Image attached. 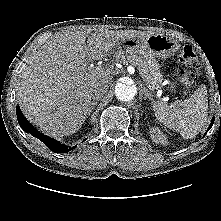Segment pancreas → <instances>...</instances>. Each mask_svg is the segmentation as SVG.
<instances>
[{"mask_svg": "<svg viewBox=\"0 0 221 221\" xmlns=\"http://www.w3.org/2000/svg\"><path fill=\"white\" fill-rule=\"evenodd\" d=\"M118 59H120L122 63H130L137 67L140 76L151 89L158 88L163 80V76L158 66L147 54L142 52H124L118 56Z\"/></svg>", "mask_w": 221, "mask_h": 221, "instance_id": "pancreas-1", "label": "pancreas"}]
</instances>
